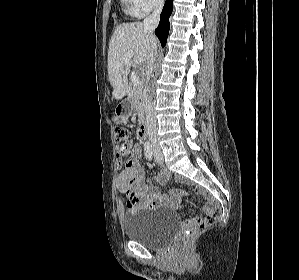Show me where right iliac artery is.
<instances>
[{
  "label": "right iliac artery",
  "instance_id": "1",
  "mask_svg": "<svg viewBox=\"0 0 299 280\" xmlns=\"http://www.w3.org/2000/svg\"><path fill=\"white\" fill-rule=\"evenodd\" d=\"M145 156L148 160L152 159L153 156V147L150 142H146L144 145Z\"/></svg>",
  "mask_w": 299,
  "mask_h": 280
}]
</instances>
